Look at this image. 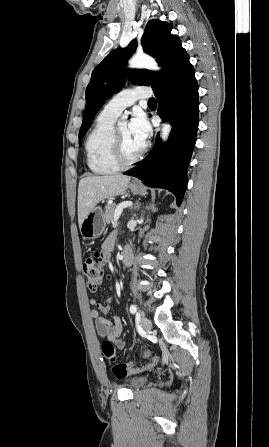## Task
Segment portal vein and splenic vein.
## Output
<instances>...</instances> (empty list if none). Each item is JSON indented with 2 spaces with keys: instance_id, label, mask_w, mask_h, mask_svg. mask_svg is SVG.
I'll use <instances>...</instances> for the list:
<instances>
[{
  "instance_id": "obj_1",
  "label": "portal vein and splenic vein",
  "mask_w": 269,
  "mask_h": 447,
  "mask_svg": "<svg viewBox=\"0 0 269 447\" xmlns=\"http://www.w3.org/2000/svg\"><path fill=\"white\" fill-rule=\"evenodd\" d=\"M128 206H132V202H125L122 201L119 204H117L115 212H114V217L113 220L115 221V223H118V221L120 220L122 211H124L125 209H127Z\"/></svg>"
}]
</instances>
